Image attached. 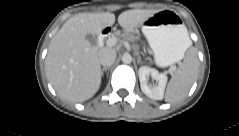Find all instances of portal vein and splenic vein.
Instances as JSON below:
<instances>
[{"instance_id": "portal-vein-and-splenic-vein-1", "label": "portal vein and splenic vein", "mask_w": 239, "mask_h": 136, "mask_svg": "<svg viewBox=\"0 0 239 136\" xmlns=\"http://www.w3.org/2000/svg\"><path fill=\"white\" fill-rule=\"evenodd\" d=\"M117 44V38L116 37H109L106 41L107 46H115Z\"/></svg>"}]
</instances>
